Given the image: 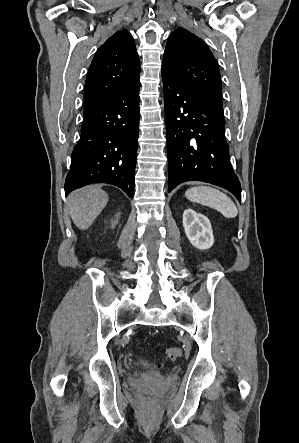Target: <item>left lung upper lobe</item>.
<instances>
[{"label":"left lung upper lobe","instance_id":"left-lung-upper-lobe-1","mask_svg":"<svg viewBox=\"0 0 299 443\" xmlns=\"http://www.w3.org/2000/svg\"><path fill=\"white\" fill-rule=\"evenodd\" d=\"M162 72L223 109L218 63L208 46L193 33L178 28L170 35Z\"/></svg>","mask_w":299,"mask_h":443}]
</instances>
